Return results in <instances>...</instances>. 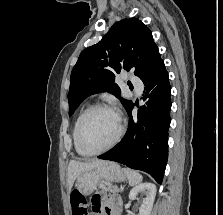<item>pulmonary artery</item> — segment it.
<instances>
[{"label":"pulmonary artery","instance_id":"1","mask_svg":"<svg viewBox=\"0 0 223 215\" xmlns=\"http://www.w3.org/2000/svg\"><path fill=\"white\" fill-rule=\"evenodd\" d=\"M124 74H127L128 78H131V86L135 87V89L132 90V93L135 94L136 98H141V90H144L145 82H141L139 77H136L135 73H129V69H124Z\"/></svg>","mask_w":223,"mask_h":215}]
</instances>
